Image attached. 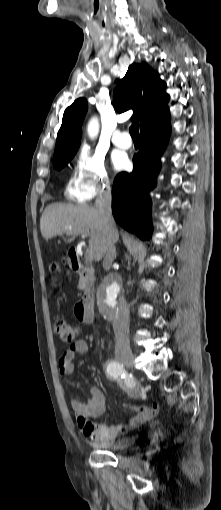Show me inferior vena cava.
<instances>
[{
    "label": "inferior vena cava",
    "instance_id": "inferior-vena-cava-1",
    "mask_svg": "<svg viewBox=\"0 0 221 510\" xmlns=\"http://www.w3.org/2000/svg\"><path fill=\"white\" fill-rule=\"evenodd\" d=\"M95 205L101 215L103 226L109 237L108 249L103 260V268L108 271L116 258L115 239L118 236V231L112 216L111 189L109 186H107L106 189L99 190ZM113 327L115 333V351H130L129 307L123 295H120L118 299Z\"/></svg>",
    "mask_w": 221,
    "mask_h": 510
}]
</instances>
